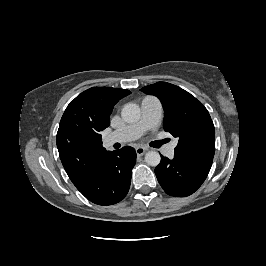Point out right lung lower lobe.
Returning <instances> with one entry per match:
<instances>
[{"label":"right lung lower lobe","mask_w":266,"mask_h":266,"mask_svg":"<svg viewBox=\"0 0 266 266\" xmlns=\"http://www.w3.org/2000/svg\"><path fill=\"white\" fill-rule=\"evenodd\" d=\"M136 163V152L126 146L110 151L97 169L89 185L80 192L98 205H113L128 193L132 168Z\"/></svg>","instance_id":"1"}]
</instances>
